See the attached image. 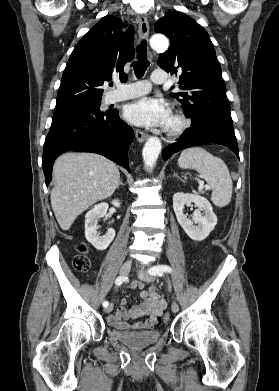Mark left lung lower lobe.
Returning a JSON list of instances; mask_svg holds the SVG:
<instances>
[{"label": "left lung lower lobe", "instance_id": "left-lung-lower-lobe-1", "mask_svg": "<svg viewBox=\"0 0 279 391\" xmlns=\"http://www.w3.org/2000/svg\"><path fill=\"white\" fill-rule=\"evenodd\" d=\"M204 143L227 146L239 158L233 123L213 115H203L197 121H192L191 127L182 133L178 142L163 149L162 158L167 160L182 149Z\"/></svg>", "mask_w": 279, "mask_h": 391}]
</instances>
